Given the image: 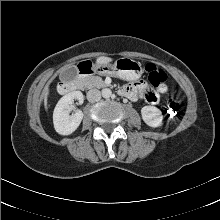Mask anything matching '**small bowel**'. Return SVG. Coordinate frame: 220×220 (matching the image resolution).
I'll use <instances>...</instances> for the list:
<instances>
[{
  "label": "small bowel",
  "mask_w": 220,
  "mask_h": 220,
  "mask_svg": "<svg viewBox=\"0 0 220 220\" xmlns=\"http://www.w3.org/2000/svg\"><path fill=\"white\" fill-rule=\"evenodd\" d=\"M166 92V85L155 84L151 89L144 81L130 83L121 89V93L131 100L143 98L151 104L158 103L160 95Z\"/></svg>",
  "instance_id": "small-bowel-1"
}]
</instances>
